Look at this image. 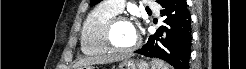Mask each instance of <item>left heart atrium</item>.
Returning a JSON list of instances; mask_svg holds the SVG:
<instances>
[{"label":"left heart atrium","mask_w":246,"mask_h":69,"mask_svg":"<svg viewBox=\"0 0 246 69\" xmlns=\"http://www.w3.org/2000/svg\"><path fill=\"white\" fill-rule=\"evenodd\" d=\"M131 26H132V29H133L134 33L137 35V33H138V29H137V25H136V23L131 22Z\"/></svg>","instance_id":"left-heart-atrium-1"}]
</instances>
